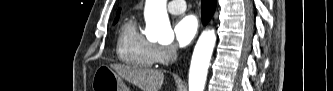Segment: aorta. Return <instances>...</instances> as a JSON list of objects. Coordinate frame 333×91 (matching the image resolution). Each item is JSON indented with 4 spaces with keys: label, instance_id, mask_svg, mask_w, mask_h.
<instances>
[{
    "label": "aorta",
    "instance_id": "obj_1",
    "mask_svg": "<svg viewBox=\"0 0 333 91\" xmlns=\"http://www.w3.org/2000/svg\"><path fill=\"white\" fill-rule=\"evenodd\" d=\"M167 0H146V36L151 41L174 39L166 10ZM216 42L214 30L204 31L194 48L189 70V91H204L210 59Z\"/></svg>",
    "mask_w": 333,
    "mask_h": 91
}]
</instances>
